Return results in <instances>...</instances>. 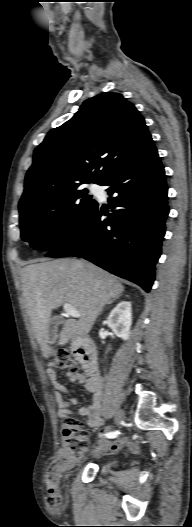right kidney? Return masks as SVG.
<instances>
[{"label": "right kidney", "mask_w": 192, "mask_h": 527, "mask_svg": "<svg viewBox=\"0 0 192 527\" xmlns=\"http://www.w3.org/2000/svg\"><path fill=\"white\" fill-rule=\"evenodd\" d=\"M131 323V303L128 301L120 302L107 318V325L123 340L129 338Z\"/></svg>", "instance_id": "ca27d5eb"}]
</instances>
